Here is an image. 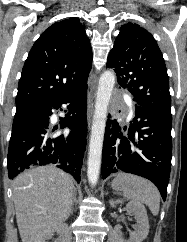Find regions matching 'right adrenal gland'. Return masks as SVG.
<instances>
[{"label": "right adrenal gland", "instance_id": "right-adrenal-gland-1", "mask_svg": "<svg viewBox=\"0 0 187 242\" xmlns=\"http://www.w3.org/2000/svg\"><path fill=\"white\" fill-rule=\"evenodd\" d=\"M76 202V193H74V197H73V204H72V209H71V214H73L74 211V203Z\"/></svg>", "mask_w": 187, "mask_h": 242}]
</instances>
